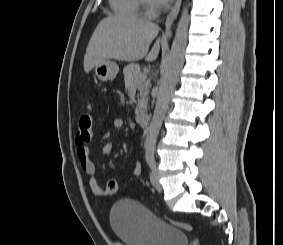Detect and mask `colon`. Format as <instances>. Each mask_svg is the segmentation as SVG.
<instances>
[{"mask_svg":"<svg viewBox=\"0 0 283 245\" xmlns=\"http://www.w3.org/2000/svg\"><path fill=\"white\" fill-rule=\"evenodd\" d=\"M93 137V118L90 113V106H87L86 111L80 114L79 116V124L76 133V143L77 144H85L91 141ZM118 191L117 181L111 179L107 182L105 193L107 195H115ZM171 223L188 232L193 231V227L190 224L179 222V221H171Z\"/></svg>","mask_w":283,"mask_h":245,"instance_id":"obj_1","label":"colon"}]
</instances>
